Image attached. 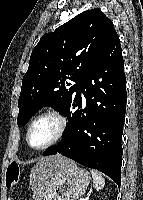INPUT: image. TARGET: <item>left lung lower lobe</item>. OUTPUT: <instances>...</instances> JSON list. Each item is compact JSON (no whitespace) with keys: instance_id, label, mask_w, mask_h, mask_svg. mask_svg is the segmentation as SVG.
Here are the masks:
<instances>
[{"instance_id":"1","label":"left lung lower lobe","mask_w":143,"mask_h":200,"mask_svg":"<svg viewBox=\"0 0 143 200\" xmlns=\"http://www.w3.org/2000/svg\"><path fill=\"white\" fill-rule=\"evenodd\" d=\"M80 90L86 98L85 108H82ZM126 101L124 62L116 35L81 76L63 139L44 155L61 153L105 173L120 186Z\"/></svg>"}]
</instances>
